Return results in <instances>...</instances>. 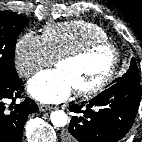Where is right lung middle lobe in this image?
Segmentation results:
<instances>
[{"label": "right lung middle lobe", "instance_id": "1", "mask_svg": "<svg viewBox=\"0 0 142 142\" xmlns=\"http://www.w3.org/2000/svg\"><path fill=\"white\" fill-rule=\"evenodd\" d=\"M29 21L12 12H0V82L18 78L14 54L16 40Z\"/></svg>", "mask_w": 142, "mask_h": 142}]
</instances>
